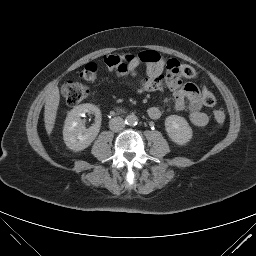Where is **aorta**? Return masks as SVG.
I'll list each match as a JSON object with an SVG mask.
<instances>
[{
    "instance_id": "762f6f07",
    "label": "aorta",
    "mask_w": 256,
    "mask_h": 256,
    "mask_svg": "<svg viewBox=\"0 0 256 256\" xmlns=\"http://www.w3.org/2000/svg\"><path fill=\"white\" fill-rule=\"evenodd\" d=\"M125 123L129 126H134V125H137L138 123V118L136 115L134 114H130L128 116H126L125 118Z\"/></svg>"
}]
</instances>
